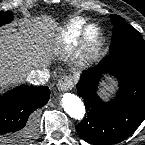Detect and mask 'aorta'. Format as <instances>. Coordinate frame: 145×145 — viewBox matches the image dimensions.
Wrapping results in <instances>:
<instances>
[{
  "mask_svg": "<svg viewBox=\"0 0 145 145\" xmlns=\"http://www.w3.org/2000/svg\"><path fill=\"white\" fill-rule=\"evenodd\" d=\"M62 106L64 111L76 120H82L85 116L86 110L82 100L71 93H66L62 97Z\"/></svg>",
  "mask_w": 145,
  "mask_h": 145,
  "instance_id": "aorta-1",
  "label": "aorta"
}]
</instances>
